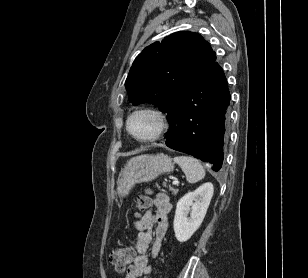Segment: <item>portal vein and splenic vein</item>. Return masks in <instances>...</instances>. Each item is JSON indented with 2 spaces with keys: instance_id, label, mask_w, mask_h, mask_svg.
<instances>
[{
  "instance_id": "18ae733b",
  "label": "portal vein and splenic vein",
  "mask_w": 308,
  "mask_h": 278,
  "mask_svg": "<svg viewBox=\"0 0 308 278\" xmlns=\"http://www.w3.org/2000/svg\"><path fill=\"white\" fill-rule=\"evenodd\" d=\"M174 185H178L179 184V181L178 180H175L172 182Z\"/></svg>"
}]
</instances>
